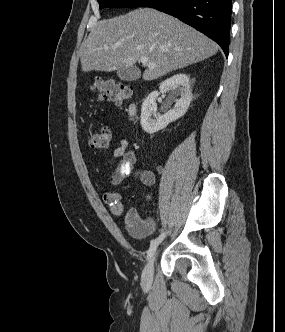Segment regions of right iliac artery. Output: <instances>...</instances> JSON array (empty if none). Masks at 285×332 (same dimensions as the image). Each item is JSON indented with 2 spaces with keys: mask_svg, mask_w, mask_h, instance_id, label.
<instances>
[{
  "mask_svg": "<svg viewBox=\"0 0 285 332\" xmlns=\"http://www.w3.org/2000/svg\"><path fill=\"white\" fill-rule=\"evenodd\" d=\"M166 234V232H162L156 239L151 241L150 248L147 252V259H150L154 255L157 246L163 241V239L166 237Z\"/></svg>",
  "mask_w": 285,
  "mask_h": 332,
  "instance_id": "1",
  "label": "right iliac artery"
}]
</instances>
